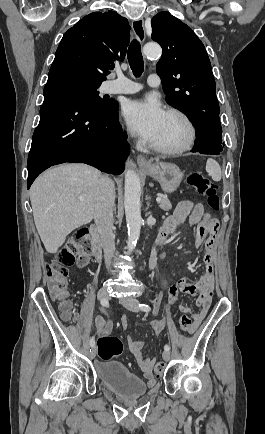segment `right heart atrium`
<instances>
[{
	"mask_svg": "<svg viewBox=\"0 0 265 434\" xmlns=\"http://www.w3.org/2000/svg\"><path fill=\"white\" fill-rule=\"evenodd\" d=\"M126 138H128L129 141H136L138 135L136 132H129L128 135H126Z\"/></svg>",
	"mask_w": 265,
	"mask_h": 434,
	"instance_id": "1",
	"label": "right heart atrium"
}]
</instances>
